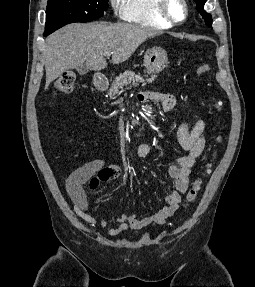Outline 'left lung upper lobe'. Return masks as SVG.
I'll use <instances>...</instances> for the list:
<instances>
[{
	"label": "left lung upper lobe",
	"instance_id": "obj_1",
	"mask_svg": "<svg viewBox=\"0 0 255 287\" xmlns=\"http://www.w3.org/2000/svg\"><path fill=\"white\" fill-rule=\"evenodd\" d=\"M197 4V10L202 15L203 19L205 20V23L208 27H211L212 24V17L210 14L206 13L204 11V4L207 0H194Z\"/></svg>",
	"mask_w": 255,
	"mask_h": 287
}]
</instances>
